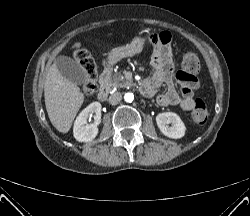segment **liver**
<instances>
[{"label":"liver","mask_w":250,"mask_h":216,"mask_svg":"<svg viewBox=\"0 0 250 216\" xmlns=\"http://www.w3.org/2000/svg\"><path fill=\"white\" fill-rule=\"evenodd\" d=\"M79 42L72 48L78 47ZM45 106L52 125L61 133H67L84 102V94L73 82L58 70L56 63L47 73L44 84Z\"/></svg>","instance_id":"1"}]
</instances>
